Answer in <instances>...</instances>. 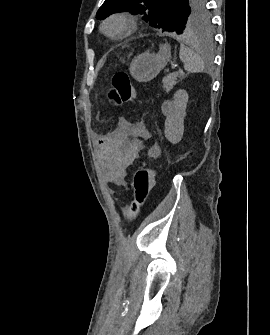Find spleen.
Returning a JSON list of instances; mask_svg holds the SVG:
<instances>
[{
    "instance_id": "3e777b00",
    "label": "spleen",
    "mask_w": 270,
    "mask_h": 335,
    "mask_svg": "<svg viewBox=\"0 0 270 335\" xmlns=\"http://www.w3.org/2000/svg\"><path fill=\"white\" fill-rule=\"evenodd\" d=\"M180 60L184 62V68L190 74L203 72L204 70V62L200 54H196V52H193V50H190L184 44H180Z\"/></svg>"
}]
</instances>
